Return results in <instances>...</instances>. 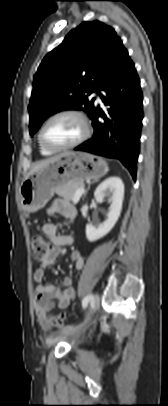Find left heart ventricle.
I'll use <instances>...</instances> for the list:
<instances>
[{
	"instance_id": "b2bd125f",
	"label": "left heart ventricle",
	"mask_w": 168,
	"mask_h": 406,
	"mask_svg": "<svg viewBox=\"0 0 168 406\" xmlns=\"http://www.w3.org/2000/svg\"><path fill=\"white\" fill-rule=\"evenodd\" d=\"M83 132L80 120L74 116L65 115L52 120L45 128L46 141L54 146H64L72 143Z\"/></svg>"
}]
</instances>
